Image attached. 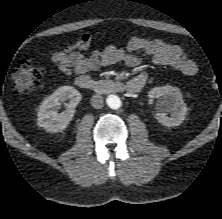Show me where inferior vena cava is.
I'll return each instance as SVG.
<instances>
[{"label": "inferior vena cava", "mask_w": 222, "mask_h": 219, "mask_svg": "<svg viewBox=\"0 0 222 219\" xmlns=\"http://www.w3.org/2000/svg\"><path fill=\"white\" fill-rule=\"evenodd\" d=\"M103 98L100 95H93L91 98V104L95 109H101L103 107Z\"/></svg>", "instance_id": "inferior-vena-cava-1"}]
</instances>
